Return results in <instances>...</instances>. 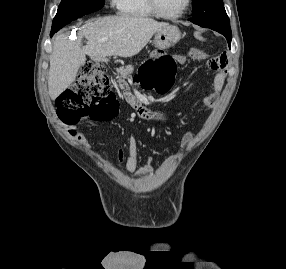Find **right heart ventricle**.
<instances>
[{
  "label": "right heart ventricle",
  "instance_id": "1",
  "mask_svg": "<svg viewBox=\"0 0 286 269\" xmlns=\"http://www.w3.org/2000/svg\"><path fill=\"white\" fill-rule=\"evenodd\" d=\"M114 3L118 13L126 17L146 19L155 16L147 0H114Z\"/></svg>",
  "mask_w": 286,
  "mask_h": 269
}]
</instances>
